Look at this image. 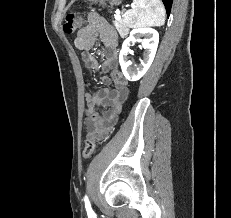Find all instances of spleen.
<instances>
[{
    "instance_id": "1",
    "label": "spleen",
    "mask_w": 231,
    "mask_h": 218,
    "mask_svg": "<svg viewBox=\"0 0 231 218\" xmlns=\"http://www.w3.org/2000/svg\"><path fill=\"white\" fill-rule=\"evenodd\" d=\"M134 6L124 14V22L130 28L162 26L165 9L161 0H133Z\"/></svg>"
}]
</instances>
